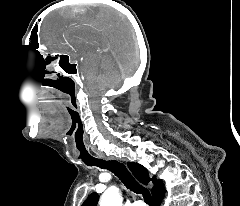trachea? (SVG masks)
<instances>
[{"instance_id":"3493384b","label":"trachea","mask_w":240,"mask_h":206,"mask_svg":"<svg viewBox=\"0 0 240 206\" xmlns=\"http://www.w3.org/2000/svg\"><path fill=\"white\" fill-rule=\"evenodd\" d=\"M87 165L88 166L94 165L100 168L108 169L109 171L114 173L129 190L137 194H142L145 202L150 206H154L150 192L134 179V177L127 170L124 164L113 160L108 162L104 160H96L87 163Z\"/></svg>"}]
</instances>
